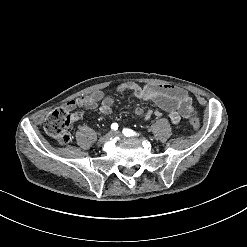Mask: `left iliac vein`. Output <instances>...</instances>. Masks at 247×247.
I'll use <instances>...</instances> for the list:
<instances>
[{"mask_svg":"<svg viewBox=\"0 0 247 247\" xmlns=\"http://www.w3.org/2000/svg\"><path fill=\"white\" fill-rule=\"evenodd\" d=\"M113 136L124 137L123 134L120 131L113 132ZM127 139L135 140L136 138L132 137V138H127Z\"/></svg>","mask_w":247,"mask_h":247,"instance_id":"obj_1","label":"left iliac vein"}]
</instances>
